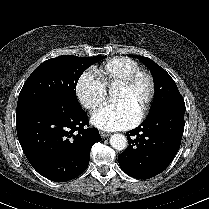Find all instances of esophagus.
I'll return each mask as SVG.
<instances>
[{"instance_id":"esophagus-1","label":"esophagus","mask_w":209,"mask_h":209,"mask_svg":"<svg viewBox=\"0 0 209 209\" xmlns=\"http://www.w3.org/2000/svg\"><path fill=\"white\" fill-rule=\"evenodd\" d=\"M100 136H101L103 139H105V138L109 137L110 134H109V133H106V132H103V131H100Z\"/></svg>"}]
</instances>
